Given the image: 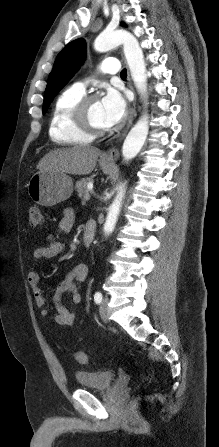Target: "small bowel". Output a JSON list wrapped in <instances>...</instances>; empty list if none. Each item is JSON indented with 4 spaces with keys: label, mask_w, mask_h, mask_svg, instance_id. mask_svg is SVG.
<instances>
[{
    "label": "small bowel",
    "mask_w": 219,
    "mask_h": 447,
    "mask_svg": "<svg viewBox=\"0 0 219 447\" xmlns=\"http://www.w3.org/2000/svg\"><path fill=\"white\" fill-rule=\"evenodd\" d=\"M75 214L67 210L59 222V229L63 233L69 232L74 225ZM64 250L63 242L59 240H51L48 245L38 247L35 249L33 256L37 260H47L55 258ZM88 275V268L85 264L80 263L75 265L59 283L56 293V316L55 321L58 325L69 326L72 325L75 316L65 306L60 303L62 295L67 294L71 301L75 304L81 301V294L77 284L86 279ZM27 283L31 288L34 299L38 307L41 308V316L49 317L51 310L47 307V301L43 289L40 287V276L36 270H32L27 275Z\"/></svg>",
    "instance_id": "obj_1"
}]
</instances>
